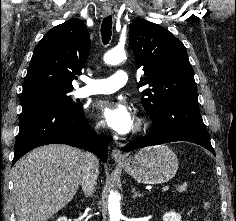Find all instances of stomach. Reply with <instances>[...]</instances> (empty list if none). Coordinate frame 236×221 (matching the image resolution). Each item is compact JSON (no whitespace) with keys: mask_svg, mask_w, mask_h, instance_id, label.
<instances>
[{"mask_svg":"<svg viewBox=\"0 0 236 221\" xmlns=\"http://www.w3.org/2000/svg\"><path fill=\"white\" fill-rule=\"evenodd\" d=\"M120 166L139 183L161 184L175 176L178 159L168 146L155 145L141 149Z\"/></svg>","mask_w":236,"mask_h":221,"instance_id":"0dacf381","label":"stomach"}]
</instances>
